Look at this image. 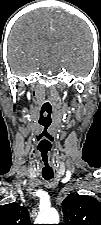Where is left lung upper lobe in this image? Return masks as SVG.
Wrapping results in <instances>:
<instances>
[{"mask_svg": "<svg viewBox=\"0 0 101 225\" xmlns=\"http://www.w3.org/2000/svg\"><path fill=\"white\" fill-rule=\"evenodd\" d=\"M62 209V225H101V203L93 197L71 193L64 199Z\"/></svg>", "mask_w": 101, "mask_h": 225, "instance_id": "left-lung-upper-lobe-1", "label": "left lung upper lobe"}]
</instances>
